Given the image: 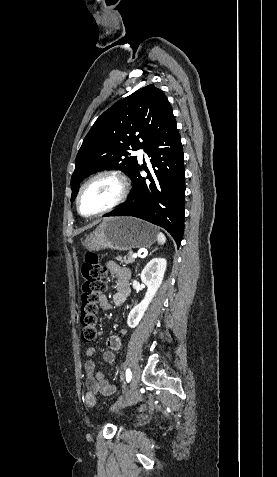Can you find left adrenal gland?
I'll return each instance as SVG.
<instances>
[{"label": "left adrenal gland", "mask_w": 277, "mask_h": 477, "mask_svg": "<svg viewBox=\"0 0 277 477\" xmlns=\"http://www.w3.org/2000/svg\"><path fill=\"white\" fill-rule=\"evenodd\" d=\"M154 251H155V250H153L152 252H150V254H149V255H151V254H152Z\"/></svg>", "instance_id": "left-adrenal-gland-1"}]
</instances>
